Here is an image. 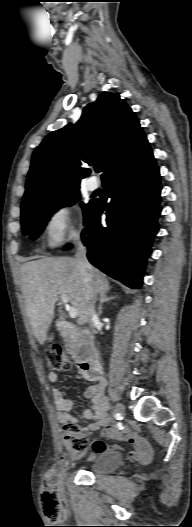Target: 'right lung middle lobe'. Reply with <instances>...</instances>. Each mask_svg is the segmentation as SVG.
<instances>
[{
  "label": "right lung middle lobe",
  "instance_id": "1",
  "mask_svg": "<svg viewBox=\"0 0 192 527\" xmlns=\"http://www.w3.org/2000/svg\"><path fill=\"white\" fill-rule=\"evenodd\" d=\"M80 198L79 188L67 191L50 200L36 204L21 207V224L23 233L29 234L31 239L36 238L44 229L49 217L57 209L72 205ZM92 202L88 204L80 203L83 209L84 217L86 216Z\"/></svg>",
  "mask_w": 192,
  "mask_h": 527
}]
</instances>
